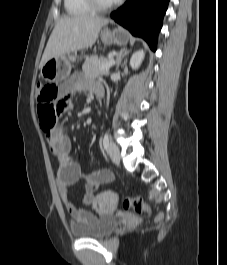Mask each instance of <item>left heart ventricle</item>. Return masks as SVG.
<instances>
[{
    "label": "left heart ventricle",
    "instance_id": "1",
    "mask_svg": "<svg viewBox=\"0 0 227 265\" xmlns=\"http://www.w3.org/2000/svg\"><path fill=\"white\" fill-rule=\"evenodd\" d=\"M102 4H109L113 2V0H99Z\"/></svg>",
    "mask_w": 227,
    "mask_h": 265
}]
</instances>
